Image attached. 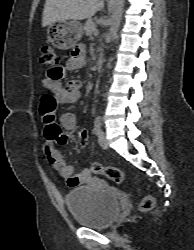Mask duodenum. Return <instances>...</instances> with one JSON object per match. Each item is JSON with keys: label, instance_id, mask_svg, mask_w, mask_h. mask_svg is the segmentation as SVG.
Masks as SVG:
<instances>
[{"label": "duodenum", "instance_id": "410a0bca", "mask_svg": "<svg viewBox=\"0 0 194 250\" xmlns=\"http://www.w3.org/2000/svg\"><path fill=\"white\" fill-rule=\"evenodd\" d=\"M103 63H104V58L102 56H99L97 60V70H100L103 67Z\"/></svg>", "mask_w": 194, "mask_h": 250}]
</instances>
